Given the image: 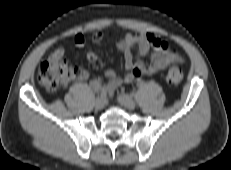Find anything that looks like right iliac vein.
Segmentation results:
<instances>
[{"label": "right iliac vein", "mask_w": 231, "mask_h": 170, "mask_svg": "<svg viewBox=\"0 0 231 170\" xmlns=\"http://www.w3.org/2000/svg\"><path fill=\"white\" fill-rule=\"evenodd\" d=\"M104 105H105V101H104V99H102V98H99V97H98V98L94 101V107H95L97 110L103 109Z\"/></svg>", "instance_id": "63e3f726"}]
</instances>
